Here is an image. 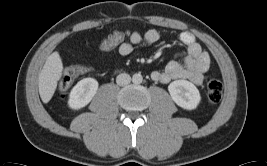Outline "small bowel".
I'll return each instance as SVG.
<instances>
[{
    "instance_id": "c3829d8e",
    "label": "small bowel",
    "mask_w": 267,
    "mask_h": 166,
    "mask_svg": "<svg viewBox=\"0 0 267 166\" xmlns=\"http://www.w3.org/2000/svg\"><path fill=\"white\" fill-rule=\"evenodd\" d=\"M161 38L162 34L155 29H150L145 33L132 32L129 34V40L118 46V52L122 56H128L137 45L141 43L153 44ZM179 41L186 46V51H179L176 54V59L170 61L163 71H153L151 79L164 84L172 80L184 79L200 85L209 68L210 57L190 32L180 33ZM69 71H73L75 76H79L87 72V69L75 66Z\"/></svg>"
}]
</instances>
